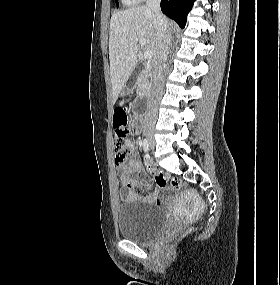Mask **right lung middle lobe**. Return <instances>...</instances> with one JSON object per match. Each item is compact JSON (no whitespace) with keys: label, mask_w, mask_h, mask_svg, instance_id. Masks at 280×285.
Instances as JSON below:
<instances>
[{"label":"right lung middle lobe","mask_w":280,"mask_h":285,"mask_svg":"<svg viewBox=\"0 0 280 285\" xmlns=\"http://www.w3.org/2000/svg\"><path fill=\"white\" fill-rule=\"evenodd\" d=\"M116 2H117V6H118V0H116Z\"/></svg>","instance_id":"obj_1"}]
</instances>
